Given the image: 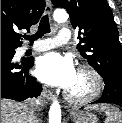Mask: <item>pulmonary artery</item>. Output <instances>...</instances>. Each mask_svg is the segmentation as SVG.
Instances as JSON below:
<instances>
[{"label": "pulmonary artery", "instance_id": "obj_1", "mask_svg": "<svg viewBox=\"0 0 122 123\" xmlns=\"http://www.w3.org/2000/svg\"><path fill=\"white\" fill-rule=\"evenodd\" d=\"M71 39V32L68 28H62L59 30L55 38H49L45 40L38 41L33 47L32 50L35 52H42L50 50L58 45L67 44ZM29 48L24 47L21 49V52L24 53Z\"/></svg>", "mask_w": 122, "mask_h": 123}]
</instances>
